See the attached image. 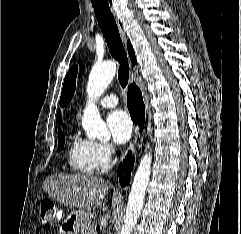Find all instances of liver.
<instances>
[{
  "instance_id": "liver-1",
  "label": "liver",
  "mask_w": 241,
  "mask_h": 234,
  "mask_svg": "<svg viewBox=\"0 0 241 234\" xmlns=\"http://www.w3.org/2000/svg\"><path fill=\"white\" fill-rule=\"evenodd\" d=\"M43 189L61 204L80 211H94L109 191L103 179L87 174H54L43 182ZM107 208L105 207L104 210Z\"/></svg>"
}]
</instances>
